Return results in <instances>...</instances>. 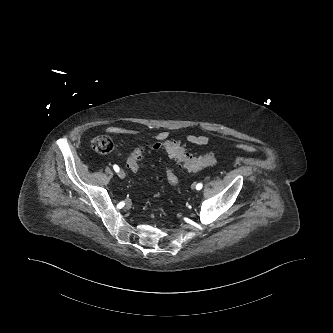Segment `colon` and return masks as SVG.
I'll use <instances>...</instances> for the list:
<instances>
[{
	"label": "colon",
	"instance_id": "5ec220e1",
	"mask_svg": "<svg viewBox=\"0 0 333 333\" xmlns=\"http://www.w3.org/2000/svg\"><path fill=\"white\" fill-rule=\"evenodd\" d=\"M92 147L100 153H108L113 149V141L108 136H97L92 140ZM152 149H164L170 157L177 160L180 165L188 171H198L215 162V157L212 153H207L202 156H194L189 154L184 145L176 140H165L152 144ZM145 154L144 147L133 149L126 157V166L132 172L139 171L141 162ZM166 178L168 182L175 186L178 184L176 175L169 169L166 170Z\"/></svg>",
	"mask_w": 333,
	"mask_h": 333
}]
</instances>
